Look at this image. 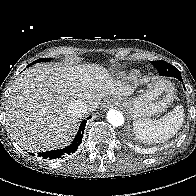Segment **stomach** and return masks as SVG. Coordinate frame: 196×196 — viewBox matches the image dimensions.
Instances as JSON below:
<instances>
[{"label":"stomach","instance_id":"obj_1","mask_svg":"<svg viewBox=\"0 0 196 196\" xmlns=\"http://www.w3.org/2000/svg\"><path fill=\"white\" fill-rule=\"evenodd\" d=\"M118 100L133 119L149 118L167 110L174 100V87L167 80L154 78L137 96Z\"/></svg>","mask_w":196,"mask_h":196}]
</instances>
